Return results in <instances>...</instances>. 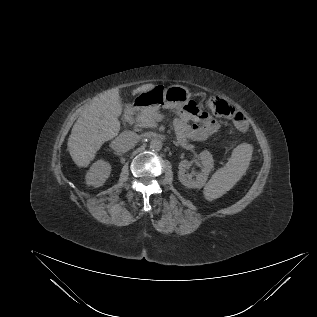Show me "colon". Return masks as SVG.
I'll return each instance as SVG.
<instances>
[{"label":"colon","mask_w":317,"mask_h":317,"mask_svg":"<svg viewBox=\"0 0 317 317\" xmlns=\"http://www.w3.org/2000/svg\"><path fill=\"white\" fill-rule=\"evenodd\" d=\"M207 106L218 116L232 120L238 129L248 127V122L243 114L231 107L225 100L219 97H208Z\"/></svg>","instance_id":"colon-1"}]
</instances>
